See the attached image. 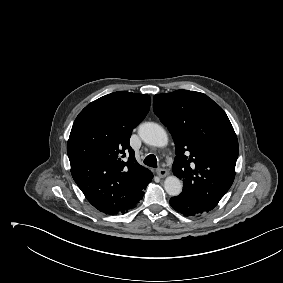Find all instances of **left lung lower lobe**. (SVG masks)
<instances>
[{
	"label": "left lung lower lobe",
	"mask_w": 283,
	"mask_h": 283,
	"mask_svg": "<svg viewBox=\"0 0 283 283\" xmlns=\"http://www.w3.org/2000/svg\"><path fill=\"white\" fill-rule=\"evenodd\" d=\"M170 205L184 216L200 215L212 210L200 200L187 195L186 193H181L178 196L172 197L170 199Z\"/></svg>",
	"instance_id": "0a47b994"
}]
</instances>
